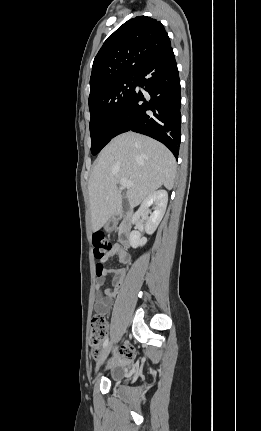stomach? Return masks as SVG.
<instances>
[{
    "label": "stomach",
    "instance_id": "obj_1",
    "mask_svg": "<svg viewBox=\"0 0 261 431\" xmlns=\"http://www.w3.org/2000/svg\"><path fill=\"white\" fill-rule=\"evenodd\" d=\"M105 229H106L107 231H111V230H112V227H111L110 223H107V224L105 225Z\"/></svg>",
    "mask_w": 261,
    "mask_h": 431
}]
</instances>
